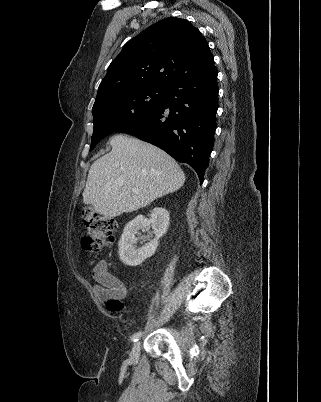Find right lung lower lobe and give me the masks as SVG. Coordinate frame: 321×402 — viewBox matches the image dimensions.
Here are the masks:
<instances>
[{
	"label": "right lung lower lobe",
	"instance_id": "1",
	"mask_svg": "<svg viewBox=\"0 0 321 402\" xmlns=\"http://www.w3.org/2000/svg\"><path fill=\"white\" fill-rule=\"evenodd\" d=\"M217 109V70L212 63L169 84L158 109L117 132L134 135L188 163L202 184L214 145Z\"/></svg>",
	"mask_w": 321,
	"mask_h": 402
}]
</instances>
